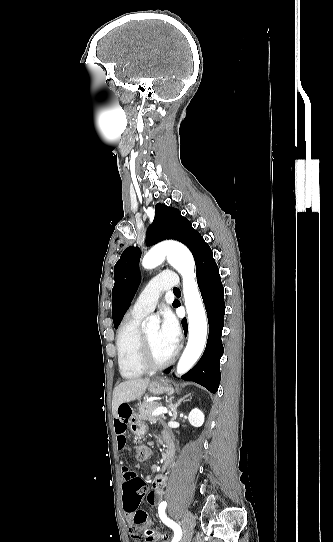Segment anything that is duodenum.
Masks as SVG:
<instances>
[{
    "mask_svg": "<svg viewBox=\"0 0 333 542\" xmlns=\"http://www.w3.org/2000/svg\"><path fill=\"white\" fill-rule=\"evenodd\" d=\"M163 441H164L165 448H166V452H165V464H164V466H166L167 463L169 462L170 458H171L172 455H173V452H174V445H173V439H172V437H171L170 434H164V435H163Z\"/></svg>",
    "mask_w": 333,
    "mask_h": 542,
    "instance_id": "410a0bca",
    "label": "duodenum"
}]
</instances>
